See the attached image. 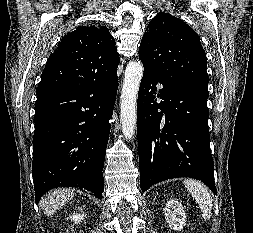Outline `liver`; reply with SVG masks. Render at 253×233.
<instances>
[{"instance_id": "obj_1", "label": "liver", "mask_w": 253, "mask_h": 233, "mask_svg": "<svg viewBox=\"0 0 253 233\" xmlns=\"http://www.w3.org/2000/svg\"><path fill=\"white\" fill-rule=\"evenodd\" d=\"M74 190L67 188H60L48 193L42 201V209L46 216L53 215L66 202L74 197Z\"/></svg>"}]
</instances>
